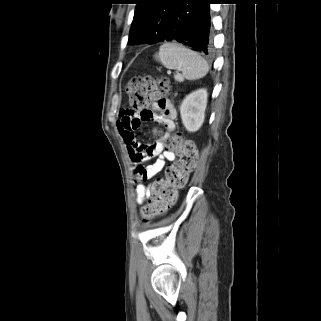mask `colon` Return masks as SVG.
<instances>
[{"instance_id": "colon-1", "label": "colon", "mask_w": 321, "mask_h": 321, "mask_svg": "<svg viewBox=\"0 0 321 321\" xmlns=\"http://www.w3.org/2000/svg\"><path fill=\"white\" fill-rule=\"evenodd\" d=\"M126 91L130 110L138 111L148 108L167 93L168 84L164 79L137 76L128 82ZM170 147L176 152V161L168 167L166 178L154 183L152 196L142 209L145 219H152L175 204L179 191L186 185L189 174L197 165L198 150L193 142L176 134L170 141Z\"/></svg>"}]
</instances>
